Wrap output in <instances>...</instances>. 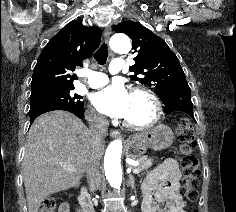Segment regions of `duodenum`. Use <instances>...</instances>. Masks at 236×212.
I'll return each mask as SVG.
<instances>
[{"mask_svg": "<svg viewBox=\"0 0 236 212\" xmlns=\"http://www.w3.org/2000/svg\"><path fill=\"white\" fill-rule=\"evenodd\" d=\"M79 202H80L83 212H95L90 194L87 188L85 187H82L80 190Z\"/></svg>", "mask_w": 236, "mask_h": 212, "instance_id": "410a0bca", "label": "duodenum"}]
</instances>
